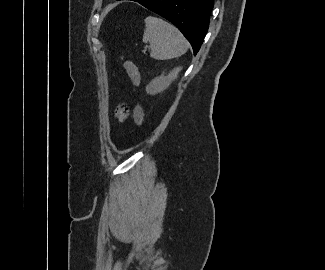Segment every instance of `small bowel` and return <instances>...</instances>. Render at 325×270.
I'll return each mask as SVG.
<instances>
[{
	"instance_id": "obj_1",
	"label": "small bowel",
	"mask_w": 325,
	"mask_h": 270,
	"mask_svg": "<svg viewBox=\"0 0 325 270\" xmlns=\"http://www.w3.org/2000/svg\"><path fill=\"white\" fill-rule=\"evenodd\" d=\"M129 113V108L126 105H121L117 109V114L120 119L126 117Z\"/></svg>"
}]
</instances>
